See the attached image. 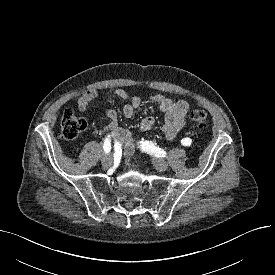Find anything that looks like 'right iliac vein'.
I'll use <instances>...</instances> for the list:
<instances>
[{
	"instance_id": "1",
	"label": "right iliac vein",
	"mask_w": 275,
	"mask_h": 275,
	"mask_svg": "<svg viewBox=\"0 0 275 275\" xmlns=\"http://www.w3.org/2000/svg\"><path fill=\"white\" fill-rule=\"evenodd\" d=\"M101 162H102L103 166H105V167L110 166L112 163V156L110 154L103 155L101 158Z\"/></svg>"
}]
</instances>
